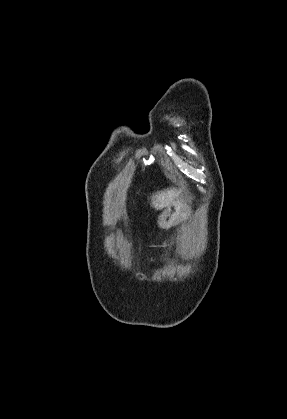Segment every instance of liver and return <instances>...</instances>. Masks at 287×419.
<instances>
[{"instance_id":"6515ba94","label":"liver","mask_w":287,"mask_h":419,"mask_svg":"<svg viewBox=\"0 0 287 419\" xmlns=\"http://www.w3.org/2000/svg\"><path fill=\"white\" fill-rule=\"evenodd\" d=\"M180 195V191L167 189L153 194L151 204L156 210L168 207Z\"/></svg>"}]
</instances>
